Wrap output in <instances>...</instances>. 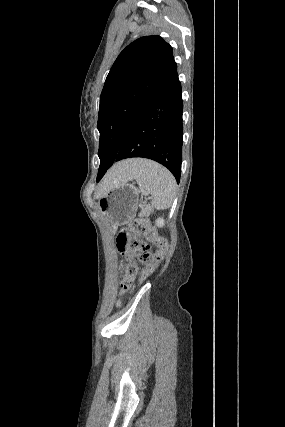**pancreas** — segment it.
Returning a JSON list of instances; mask_svg holds the SVG:
<instances>
[{
  "label": "pancreas",
  "mask_w": 285,
  "mask_h": 427,
  "mask_svg": "<svg viewBox=\"0 0 285 427\" xmlns=\"http://www.w3.org/2000/svg\"><path fill=\"white\" fill-rule=\"evenodd\" d=\"M152 212V208L150 205H145L144 209L140 213V216H145L146 214H149Z\"/></svg>",
  "instance_id": "cf45deb5"
}]
</instances>
